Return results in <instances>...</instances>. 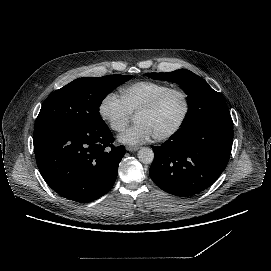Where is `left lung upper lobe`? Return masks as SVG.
<instances>
[{
  "label": "left lung upper lobe",
  "mask_w": 271,
  "mask_h": 271,
  "mask_svg": "<svg viewBox=\"0 0 271 271\" xmlns=\"http://www.w3.org/2000/svg\"><path fill=\"white\" fill-rule=\"evenodd\" d=\"M146 76L156 80L175 82L181 85L188 95V114L179 130H188L193 125L206 121L232 122L222 95L193 72L179 69L169 73H147Z\"/></svg>",
  "instance_id": "left-lung-upper-lobe-1"
}]
</instances>
